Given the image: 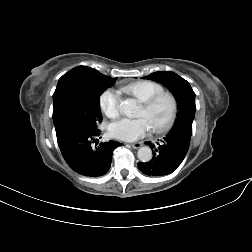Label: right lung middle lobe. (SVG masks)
<instances>
[{
	"label": "right lung middle lobe",
	"mask_w": 252,
	"mask_h": 252,
	"mask_svg": "<svg viewBox=\"0 0 252 252\" xmlns=\"http://www.w3.org/2000/svg\"><path fill=\"white\" fill-rule=\"evenodd\" d=\"M114 83L94 75L74 76L59 81L53 94L55 130L70 126L97 129L102 119L99 97Z\"/></svg>",
	"instance_id": "1"
}]
</instances>
